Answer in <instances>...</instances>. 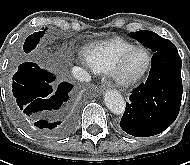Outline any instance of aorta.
<instances>
[{
	"instance_id": "aorta-1",
	"label": "aorta",
	"mask_w": 190,
	"mask_h": 165,
	"mask_svg": "<svg viewBox=\"0 0 190 165\" xmlns=\"http://www.w3.org/2000/svg\"><path fill=\"white\" fill-rule=\"evenodd\" d=\"M104 101L108 109L116 114L122 115L125 111V101L122 95L116 90H109L104 95Z\"/></svg>"
}]
</instances>
